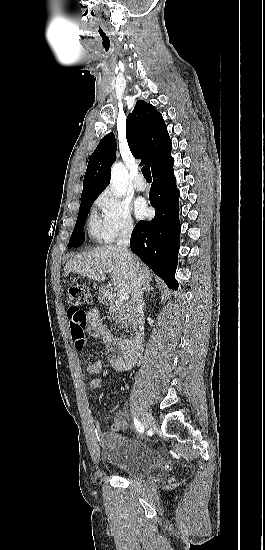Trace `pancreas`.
Returning <instances> with one entry per match:
<instances>
[{
	"instance_id": "cf45deb5",
	"label": "pancreas",
	"mask_w": 265,
	"mask_h": 550,
	"mask_svg": "<svg viewBox=\"0 0 265 550\" xmlns=\"http://www.w3.org/2000/svg\"><path fill=\"white\" fill-rule=\"evenodd\" d=\"M109 312L113 317L117 318L118 323L128 327L135 325V312L130 303L121 299H116L111 305Z\"/></svg>"
}]
</instances>
